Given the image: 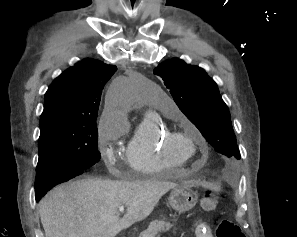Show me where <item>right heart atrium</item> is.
<instances>
[{
    "label": "right heart atrium",
    "mask_w": 297,
    "mask_h": 237,
    "mask_svg": "<svg viewBox=\"0 0 297 237\" xmlns=\"http://www.w3.org/2000/svg\"><path fill=\"white\" fill-rule=\"evenodd\" d=\"M123 130L119 117L111 110L106 109L100 119L98 127L100 151L109 167H113L118 158L115 143Z\"/></svg>",
    "instance_id": "obj_1"
}]
</instances>
